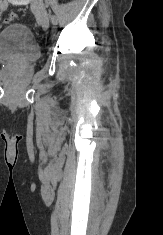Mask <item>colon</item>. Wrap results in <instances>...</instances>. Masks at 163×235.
Instances as JSON below:
<instances>
[{
	"instance_id": "5ec220e1",
	"label": "colon",
	"mask_w": 163,
	"mask_h": 235,
	"mask_svg": "<svg viewBox=\"0 0 163 235\" xmlns=\"http://www.w3.org/2000/svg\"><path fill=\"white\" fill-rule=\"evenodd\" d=\"M16 18H17V14L14 12H11L4 18V22L10 23V22L14 21Z\"/></svg>"
}]
</instances>
